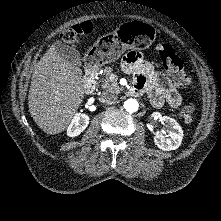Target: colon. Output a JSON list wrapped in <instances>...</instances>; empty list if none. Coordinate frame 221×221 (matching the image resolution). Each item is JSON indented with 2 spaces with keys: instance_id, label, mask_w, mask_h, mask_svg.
I'll return each instance as SVG.
<instances>
[{
  "instance_id": "1",
  "label": "colon",
  "mask_w": 221,
  "mask_h": 221,
  "mask_svg": "<svg viewBox=\"0 0 221 221\" xmlns=\"http://www.w3.org/2000/svg\"><path fill=\"white\" fill-rule=\"evenodd\" d=\"M91 31V23L82 22L64 31L61 35V39L67 44H74L80 36L89 34ZM157 51L160 61L176 84L180 86H187L189 84V78L186 74L184 63L176 51L168 44L158 45ZM195 109L196 106L194 103H188L180 110V117L184 121H190Z\"/></svg>"
}]
</instances>
